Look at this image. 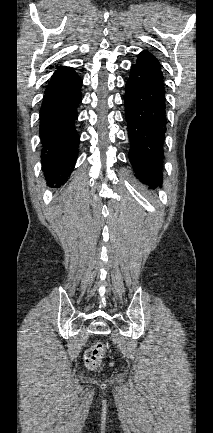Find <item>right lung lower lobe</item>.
Segmentation results:
<instances>
[{
    "label": "right lung lower lobe",
    "instance_id": "98d812e1",
    "mask_svg": "<svg viewBox=\"0 0 213 433\" xmlns=\"http://www.w3.org/2000/svg\"><path fill=\"white\" fill-rule=\"evenodd\" d=\"M82 80L71 67L53 74L40 109L42 170L52 183H63L74 168L79 135L74 127Z\"/></svg>",
    "mask_w": 213,
    "mask_h": 433
}]
</instances>
